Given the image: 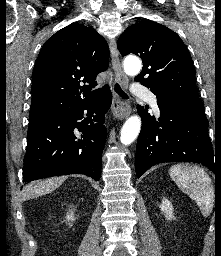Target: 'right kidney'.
<instances>
[{
	"label": "right kidney",
	"instance_id": "obj_1",
	"mask_svg": "<svg viewBox=\"0 0 221 256\" xmlns=\"http://www.w3.org/2000/svg\"><path fill=\"white\" fill-rule=\"evenodd\" d=\"M66 220H67L68 222L75 220L73 212L67 213Z\"/></svg>",
	"mask_w": 221,
	"mask_h": 256
}]
</instances>
